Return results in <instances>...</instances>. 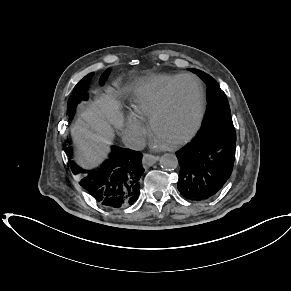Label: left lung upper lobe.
Here are the masks:
<instances>
[{
	"mask_svg": "<svg viewBox=\"0 0 291 291\" xmlns=\"http://www.w3.org/2000/svg\"><path fill=\"white\" fill-rule=\"evenodd\" d=\"M208 86V108L202 127L197 135L203 137H218L236 142V133L232 122L230 107L225 93L219 84L208 74L196 69H190Z\"/></svg>",
	"mask_w": 291,
	"mask_h": 291,
	"instance_id": "left-lung-upper-lobe-1",
	"label": "left lung upper lobe"
}]
</instances>
